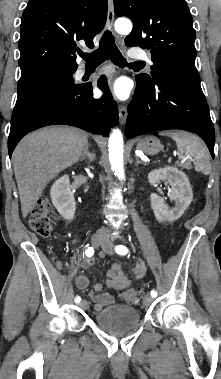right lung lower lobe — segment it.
<instances>
[{
    "instance_id": "1",
    "label": "right lung lower lobe",
    "mask_w": 221,
    "mask_h": 379,
    "mask_svg": "<svg viewBox=\"0 0 221 379\" xmlns=\"http://www.w3.org/2000/svg\"><path fill=\"white\" fill-rule=\"evenodd\" d=\"M98 87L103 90L100 99L93 98L91 84L78 87L57 85L52 93L35 99L11 120L9 156L27 133L48 125H71L107 137L110 128L118 124V107L105 77L98 80Z\"/></svg>"
}]
</instances>
